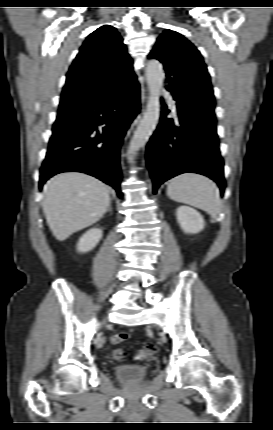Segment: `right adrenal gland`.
<instances>
[{"instance_id":"obj_1","label":"right adrenal gland","mask_w":273,"mask_h":430,"mask_svg":"<svg viewBox=\"0 0 273 430\" xmlns=\"http://www.w3.org/2000/svg\"><path fill=\"white\" fill-rule=\"evenodd\" d=\"M108 210H109V211H112V208H111V206H109Z\"/></svg>"}]
</instances>
